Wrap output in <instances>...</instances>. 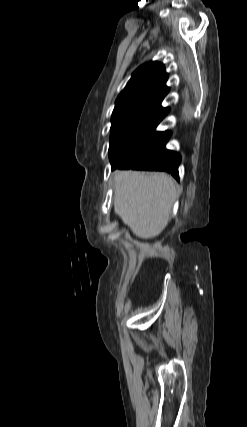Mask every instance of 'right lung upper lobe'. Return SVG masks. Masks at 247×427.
<instances>
[{
    "label": "right lung upper lobe",
    "instance_id": "1",
    "mask_svg": "<svg viewBox=\"0 0 247 427\" xmlns=\"http://www.w3.org/2000/svg\"><path fill=\"white\" fill-rule=\"evenodd\" d=\"M167 79L165 67L159 62L140 66L119 94L113 114L143 112L150 115L161 109V102L168 93Z\"/></svg>",
    "mask_w": 247,
    "mask_h": 427
}]
</instances>
